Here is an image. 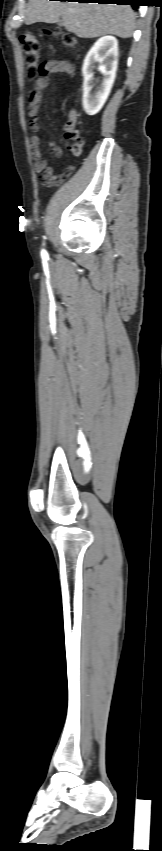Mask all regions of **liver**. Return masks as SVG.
<instances>
[{
	"label": "liver",
	"instance_id": "1",
	"mask_svg": "<svg viewBox=\"0 0 162 851\" xmlns=\"http://www.w3.org/2000/svg\"><path fill=\"white\" fill-rule=\"evenodd\" d=\"M81 38L116 35L129 38L134 31L135 15L129 5L29 0L25 11L27 25L56 23Z\"/></svg>",
	"mask_w": 162,
	"mask_h": 851
}]
</instances>
